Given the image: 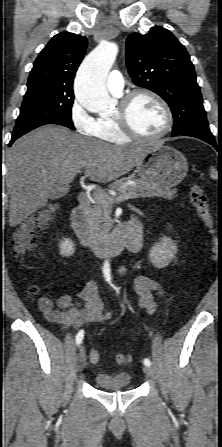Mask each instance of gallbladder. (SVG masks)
<instances>
[{"label": "gallbladder", "mask_w": 222, "mask_h": 447, "mask_svg": "<svg viewBox=\"0 0 222 447\" xmlns=\"http://www.w3.org/2000/svg\"><path fill=\"white\" fill-rule=\"evenodd\" d=\"M68 191H69L68 188L62 187L60 185H56L52 188L49 198L51 200L59 199V198L65 196L68 193Z\"/></svg>", "instance_id": "obj_1"}]
</instances>
